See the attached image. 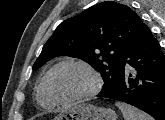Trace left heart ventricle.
<instances>
[{
	"mask_svg": "<svg viewBox=\"0 0 165 120\" xmlns=\"http://www.w3.org/2000/svg\"><path fill=\"white\" fill-rule=\"evenodd\" d=\"M49 84L56 97L69 99L89 90L93 79L82 67L65 65L52 73Z\"/></svg>",
	"mask_w": 165,
	"mask_h": 120,
	"instance_id": "left-heart-ventricle-1",
	"label": "left heart ventricle"
}]
</instances>
